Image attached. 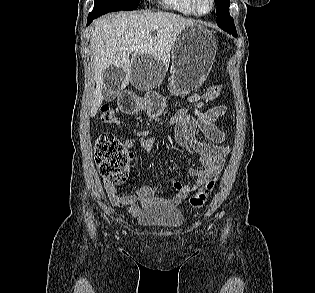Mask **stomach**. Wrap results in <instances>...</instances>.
<instances>
[{"instance_id": "stomach-1", "label": "stomach", "mask_w": 315, "mask_h": 293, "mask_svg": "<svg viewBox=\"0 0 315 293\" xmlns=\"http://www.w3.org/2000/svg\"><path fill=\"white\" fill-rule=\"evenodd\" d=\"M216 49L212 32L203 25L196 23L182 29L172 47L170 92L182 95L199 88L212 68ZM117 102L119 110L147 109L151 117L159 116L166 106V100L157 93L138 96L137 92H120Z\"/></svg>"}]
</instances>
